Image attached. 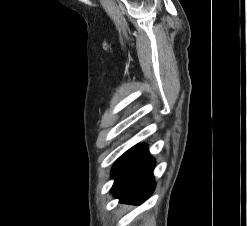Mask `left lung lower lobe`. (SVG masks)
I'll use <instances>...</instances> for the list:
<instances>
[{
	"mask_svg": "<svg viewBox=\"0 0 247 226\" xmlns=\"http://www.w3.org/2000/svg\"><path fill=\"white\" fill-rule=\"evenodd\" d=\"M155 161L147 145L139 144L127 151L113 166L112 193L121 203L140 204L153 192Z\"/></svg>",
	"mask_w": 247,
	"mask_h": 226,
	"instance_id": "left-lung-lower-lobe-1",
	"label": "left lung lower lobe"
}]
</instances>
